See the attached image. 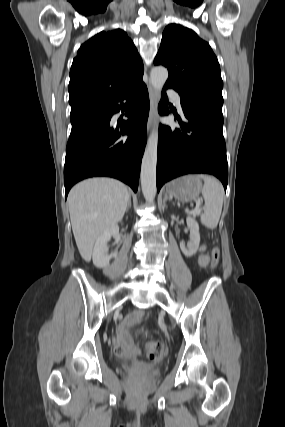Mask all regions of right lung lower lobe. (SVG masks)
I'll use <instances>...</instances> for the list:
<instances>
[{
	"label": "right lung lower lobe",
	"mask_w": 285,
	"mask_h": 427,
	"mask_svg": "<svg viewBox=\"0 0 285 427\" xmlns=\"http://www.w3.org/2000/svg\"><path fill=\"white\" fill-rule=\"evenodd\" d=\"M122 102L129 103L125 104L128 120L114 127L111 118L123 107ZM148 114V91L141 80L109 101L71 117L64 166L65 197L75 183L94 176L117 178L136 192ZM125 135L127 138H123Z\"/></svg>",
	"instance_id": "obj_1"
}]
</instances>
